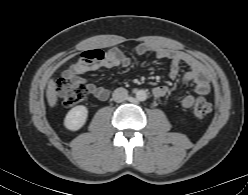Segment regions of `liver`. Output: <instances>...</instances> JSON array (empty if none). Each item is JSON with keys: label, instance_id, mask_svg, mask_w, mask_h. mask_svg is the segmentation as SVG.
I'll list each match as a JSON object with an SVG mask.
<instances>
[{"label": "liver", "instance_id": "6515ba94", "mask_svg": "<svg viewBox=\"0 0 248 195\" xmlns=\"http://www.w3.org/2000/svg\"><path fill=\"white\" fill-rule=\"evenodd\" d=\"M46 97L50 107H54L57 103V91H56V83L53 79H50L47 85Z\"/></svg>", "mask_w": 248, "mask_h": 195}]
</instances>
